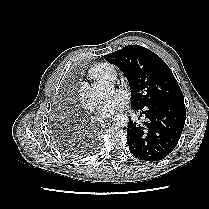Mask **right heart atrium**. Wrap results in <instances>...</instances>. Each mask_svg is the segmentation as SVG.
<instances>
[{
	"instance_id": "d8ad5b80",
	"label": "right heart atrium",
	"mask_w": 209,
	"mask_h": 209,
	"mask_svg": "<svg viewBox=\"0 0 209 209\" xmlns=\"http://www.w3.org/2000/svg\"><path fill=\"white\" fill-rule=\"evenodd\" d=\"M77 100L80 106L87 112H93L95 104L90 98L89 92L86 87L82 86L77 93Z\"/></svg>"
}]
</instances>
